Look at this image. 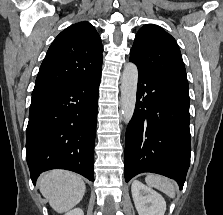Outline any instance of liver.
<instances>
[{
    "label": "liver",
    "instance_id": "6515ba94",
    "mask_svg": "<svg viewBox=\"0 0 223 215\" xmlns=\"http://www.w3.org/2000/svg\"><path fill=\"white\" fill-rule=\"evenodd\" d=\"M39 189L49 199L55 211H69L81 201L86 185L77 173L65 169H51L42 173L38 179Z\"/></svg>",
    "mask_w": 223,
    "mask_h": 215
}]
</instances>
